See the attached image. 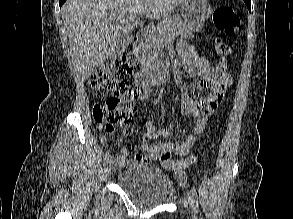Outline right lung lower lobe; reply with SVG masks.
<instances>
[{
  "label": "right lung lower lobe",
  "instance_id": "right-lung-lower-lobe-1",
  "mask_svg": "<svg viewBox=\"0 0 293 219\" xmlns=\"http://www.w3.org/2000/svg\"><path fill=\"white\" fill-rule=\"evenodd\" d=\"M66 0H60V7L62 6V4L65 2Z\"/></svg>",
  "mask_w": 293,
  "mask_h": 219
}]
</instances>
